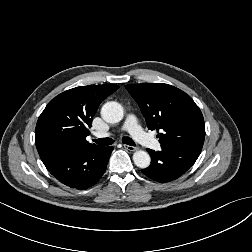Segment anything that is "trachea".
<instances>
[{"label": "trachea", "instance_id": "obj_1", "mask_svg": "<svg viewBox=\"0 0 252 252\" xmlns=\"http://www.w3.org/2000/svg\"><path fill=\"white\" fill-rule=\"evenodd\" d=\"M93 141L100 146H108V145L113 144L114 142L112 138H99V139H94ZM122 142L130 146H135L134 141L129 137H123Z\"/></svg>", "mask_w": 252, "mask_h": 252}]
</instances>
